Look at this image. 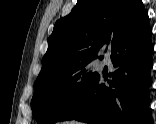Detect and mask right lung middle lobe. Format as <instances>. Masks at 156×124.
I'll use <instances>...</instances> for the list:
<instances>
[{
    "mask_svg": "<svg viewBox=\"0 0 156 124\" xmlns=\"http://www.w3.org/2000/svg\"><path fill=\"white\" fill-rule=\"evenodd\" d=\"M90 61L74 64L43 77L34 84L33 117L39 124H53L86 92L98 76Z\"/></svg>",
    "mask_w": 156,
    "mask_h": 124,
    "instance_id": "obj_1",
    "label": "right lung middle lobe"
}]
</instances>
